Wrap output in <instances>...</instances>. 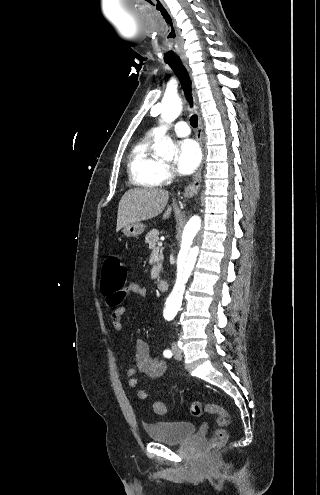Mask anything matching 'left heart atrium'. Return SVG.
<instances>
[{"instance_id":"39dd6f15","label":"left heart atrium","mask_w":320,"mask_h":495,"mask_svg":"<svg viewBox=\"0 0 320 495\" xmlns=\"http://www.w3.org/2000/svg\"><path fill=\"white\" fill-rule=\"evenodd\" d=\"M201 162V150L192 139H185L179 143L175 167L178 173L189 175L193 173Z\"/></svg>"}]
</instances>
